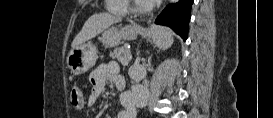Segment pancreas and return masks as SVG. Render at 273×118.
<instances>
[{
    "label": "pancreas",
    "mask_w": 273,
    "mask_h": 118,
    "mask_svg": "<svg viewBox=\"0 0 273 118\" xmlns=\"http://www.w3.org/2000/svg\"><path fill=\"white\" fill-rule=\"evenodd\" d=\"M128 51H129V49L127 47H118V48L114 49L113 52H110V57H112L113 59H116L123 66H126V65H128L129 60H127L125 53Z\"/></svg>",
    "instance_id": "1"
}]
</instances>
